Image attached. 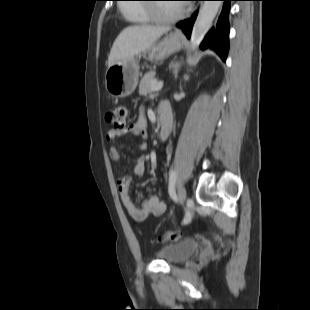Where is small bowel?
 <instances>
[{
	"label": "small bowel",
	"mask_w": 310,
	"mask_h": 310,
	"mask_svg": "<svg viewBox=\"0 0 310 310\" xmlns=\"http://www.w3.org/2000/svg\"><path fill=\"white\" fill-rule=\"evenodd\" d=\"M164 109L171 112L167 103L160 105L159 110ZM123 133H128L135 137L145 139L148 135L147 123L145 117L141 114L137 121L129 125L125 130H109L106 134V140L114 144L118 137ZM109 157L113 161H119L120 152L115 145L109 148ZM145 172V162L142 157L134 160L132 170L118 179V190L122 204L129 216L136 222L145 221L150 215L161 216L166 211V203L156 195H151L142 201L141 206H137L130 193V186L137 178L141 177Z\"/></svg>",
	"instance_id": "small-bowel-1"
}]
</instances>
